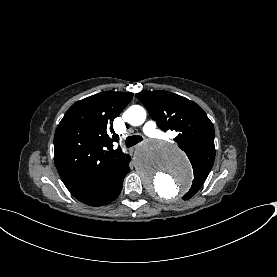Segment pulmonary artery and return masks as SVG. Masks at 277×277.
<instances>
[{
  "label": "pulmonary artery",
  "mask_w": 277,
  "mask_h": 277,
  "mask_svg": "<svg viewBox=\"0 0 277 277\" xmlns=\"http://www.w3.org/2000/svg\"><path fill=\"white\" fill-rule=\"evenodd\" d=\"M142 132L148 137L155 138L157 141L170 140L173 137V132L168 130L166 132H159L158 128L152 120H147L143 127Z\"/></svg>",
  "instance_id": "pulmonary-artery-1"
}]
</instances>
